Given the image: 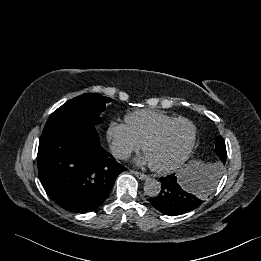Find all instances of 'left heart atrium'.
<instances>
[{
    "label": "left heart atrium",
    "mask_w": 261,
    "mask_h": 261,
    "mask_svg": "<svg viewBox=\"0 0 261 261\" xmlns=\"http://www.w3.org/2000/svg\"><path fill=\"white\" fill-rule=\"evenodd\" d=\"M139 163H141V164H150L149 159L147 158V156H145L142 159H140Z\"/></svg>",
    "instance_id": "1"
}]
</instances>
